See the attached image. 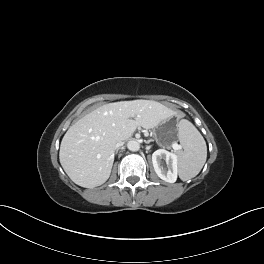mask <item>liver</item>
I'll return each mask as SVG.
<instances>
[{"label":"liver","mask_w":264,"mask_h":264,"mask_svg":"<svg viewBox=\"0 0 264 264\" xmlns=\"http://www.w3.org/2000/svg\"><path fill=\"white\" fill-rule=\"evenodd\" d=\"M173 114L150 100L104 104L70 126L61 141L60 163L77 185L100 186L110 176L117 141L128 140L139 126L154 128Z\"/></svg>","instance_id":"6515ba94"}]
</instances>
